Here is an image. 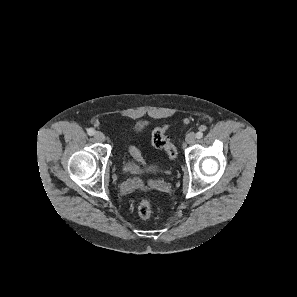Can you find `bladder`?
Returning a JSON list of instances; mask_svg holds the SVG:
<instances>
[{
    "mask_svg": "<svg viewBox=\"0 0 297 297\" xmlns=\"http://www.w3.org/2000/svg\"><path fill=\"white\" fill-rule=\"evenodd\" d=\"M144 128V125L142 123H136L133 127V130L135 132H140ZM124 168L126 171L131 172V173H137L139 169L131 162L125 161L124 163ZM152 169L155 171H159V167L157 165H152Z\"/></svg>",
    "mask_w": 297,
    "mask_h": 297,
    "instance_id": "1",
    "label": "bladder"
}]
</instances>
